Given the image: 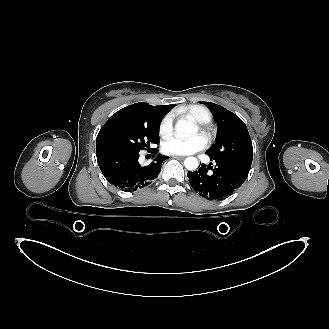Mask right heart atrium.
Wrapping results in <instances>:
<instances>
[{"instance_id": "1", "label": "right heart atrium", "mask_w": 329, "mask_h": 329, "mask_svg": "<svg viewBox=\"0 0 329 329\" xmlns=\"http://www.w3.org/2000/svg\"><path fill=\"white\" fill-rule=\"evenodd\" d=\"M174 115L172 113L166 114L160 124L159 133L162 137H168L173 131Z\"/></svg>"}]
</instances>
